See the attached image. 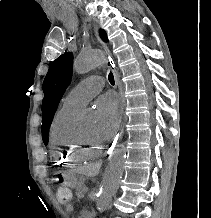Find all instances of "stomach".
I'll use <instances>...</instances> for the list:
<instances>
[{"instance_id":"obj_1","label":"stomach","mask_w":211,"mask_h":218,"mask_svg":"<svg viewBox=\"0 0 211 218\" xmlns=\"http://www.w3.org/2000/svg\"><path fill=\"white\" fill-rule=\"evenodd\" d=\"M81 183L79 177L74 173L64 175V184L68 187L75 188Z\"/></svg>"}]
</instances>
